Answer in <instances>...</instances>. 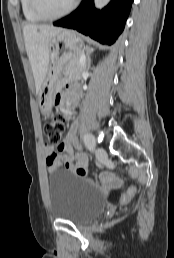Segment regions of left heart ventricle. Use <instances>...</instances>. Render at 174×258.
Instances as JSON below:
<instances>
[{"label":"left heart ventricle","mask_w":174,"mask_h":258,"mask_svg":"<svg viewBox=\"0 0 174 258\" xmlns=\"http://www.w3.org/2000/svg\"><path fill=\"white\" fill-rule=\"evenodd\" d=\"M72 2L73 0H41L42 6L52 14L63 11Z\"/></svg>","instance_id":"obj_1"}]
</instances>
